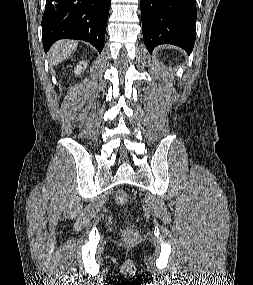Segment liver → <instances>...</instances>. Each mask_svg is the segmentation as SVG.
I'll list each match as a JSON object with an SVG mask.
<instances>
[{"label": "liver", "instance_id": "6515ba94", "mask_svg": "<svg viewBox=\"0 0 253 285\" xmlns=\"http://www.w3.org/2000/svg\"><path fill=\"white\" fill-rule=\"evenodd\" d=\"M78 46L77 41H59L53 45L50 51V64L58 65L69 57L74 51H76Z\"/></svg>", "mask_w": 253, "mask_h": 285}]
</instances>
